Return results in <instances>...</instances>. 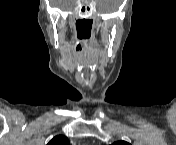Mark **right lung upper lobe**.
Listing matches in <instances>:
<instances>
[{
	"mask_svg": "<svg viewBox=\"0 0 176 145\" xmlns=\"http://www.w3.org/2000/svg\"><path fill=\"white\" fill-rule=\"evenodd\" d=\"M48 145H69V140L64 135L55 136Z\"/></svg>",
	"mask_w": 176,
	"mask_h": 145,
	"instance_id": "1",
	"label": "right lung upper lobe"
}]
</instances>
